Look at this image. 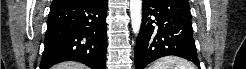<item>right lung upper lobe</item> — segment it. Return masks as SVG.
I'll list each match as a JSON object with an SVG mask.
<instances>
[{
    "label": "right lung upper lobe",
    "instance_id": "cb5924a9",
    "mask_svg": "<svg viewBox=\"0 0 246 69\" xmlns=\"http://www.w3.org/2000/svg\"><path fill=\"white\" fill-rule=\"evenodd\" d=\"M72 1H78V0H53V3L52 4L66 3V2H72ZM84 1H94V0H84Z\"/></svg>",
    "mask_w": 246,
    "mask_h": 69
}]
</instances>
